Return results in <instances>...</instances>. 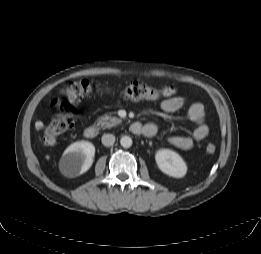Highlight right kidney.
Returning a JSON list of instances; mask_svg holds the SVG:
<instances>
[{
  "instance_id": "right-kidney-1",
  "label": "right kidney",
  "mask_w": 261,
  "mask_h": 254,
  "mask_svg": "<svg viewBox=\"0 0 261 254\" xmlns=\"http://www.w3.org/2000/svg\"><path fill=\"white\" fill-rule=\"evenodd\" d=\"M95 147L88 141L72 143L63 153L61 168L68 177H75L86 172L92 165Z\"/></svg>"
}]
</instances>
